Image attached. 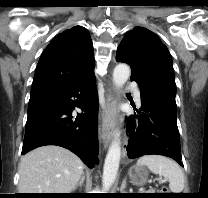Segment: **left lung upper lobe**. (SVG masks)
<instances>
[{"mask_svg": "<svg viewBox=\"0 0 208 198\" xmlns=\"http://www.w3.org/2000/svg\"><path fill=\"white\" fill-rule=\"evenodd\" d=\"M131 67L139 87L157 95L176 109V84L172 59L166 46L152 31L136 27L128 32L117 54Z\"/></svg>", "mask_w": 208, "mask_h": 198, "instance_id": "obj_1", "label": "left lung upper lobe"}]
</instances>
